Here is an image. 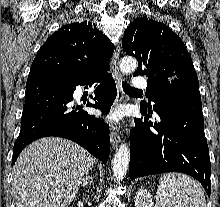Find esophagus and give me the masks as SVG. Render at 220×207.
Masks as SVG:
<instances>
[{"label": "esophagus", "instance_id": "esophagus-1", "mask_svg": "<svg viewBox=\"0 0 220 207\" xmlns=\"http://www.w3.org/2000/svg\"><path fill=\"white\" fill-rule=\"evenodd\" d=\"M119 56H120V46L118 45L116 47V50L114 52V55L112 57V61H111V70H112V76L116 82V87H117V96H116V100H115V104H119L124 100V92L122 89V75L121 72L119 70ZM110 141H111V145L112 148H117L119 142H120V135L118 132H116L115 130H113L111 132L110 135Z\"/></svg>", "mask_w": 220, "mask_h": 207}]
</instances>
